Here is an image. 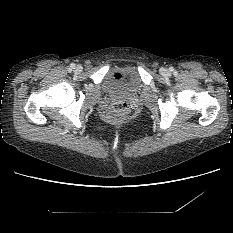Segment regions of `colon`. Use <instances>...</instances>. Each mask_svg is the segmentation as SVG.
Instances as JSON below:
<instances>
[{
    "label": "colon",
    "mask_w": 233,
    "mask_h": 233,
    "mask_svg": "<svg viewBox=\"0 0 233 233\" xmlns=\"http://www.w3.org/2000/svg\"><path fill=\"white\" fill-rule=\"evenodd\" d=\"M130 113V106L126 100L117 99L107 104L103 109V116L108 124L122 120Z\"/></svg>",
    "instance_id": "colon-1"
}]
</instances>
